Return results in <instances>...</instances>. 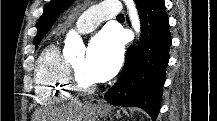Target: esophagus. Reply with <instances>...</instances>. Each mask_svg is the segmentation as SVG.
I'll list each match as a JSON object with an SVG mask.
<instances>
[{
	"label": "esophagus",
	"instance_id": "34e87169",
	"mask_svg": "<svg viewBox=\"0 0 217 121\" xmlns=\"http://www.w3.org/2000/svg\"><path fill=\"white\" fill-rule=\"evenodd\" d=\"M100 105H105V103L104 102H100Z\"/></svg>",
	"mask_w": 217,
	"mask_h": 121
}]
</instances>
